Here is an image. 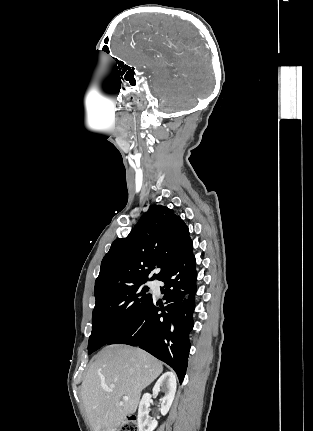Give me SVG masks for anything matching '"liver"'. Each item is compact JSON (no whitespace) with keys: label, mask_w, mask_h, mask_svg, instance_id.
Here are the masks:
<instances>
[{"label":"liver","mask_w":313,"mask_h":431,"mask_svg":"<svg viewBox=\"0 0 313 431\" xmlns=\"http://www.w3.org/2000/svg\"><path fill=\"white\" fill-rule=\"evenodd\" d=\"M162 371V363L140 348L114 344L102 349L81 385L93 431H116L127 416L135 413L142 390ZM103 386L113 391L107 392Z\"/></svg>","instance_id":"1"}]
</instances>
